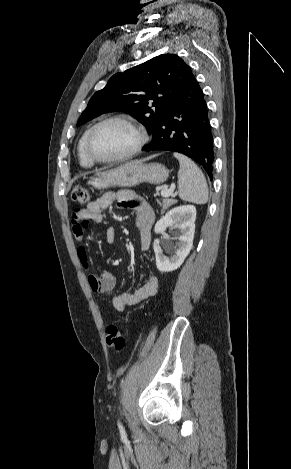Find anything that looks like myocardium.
<instances>
[{
    "label": "myocardium",
    "mask_w": 291,
    "mask_h": 469,
    "mask_svg": "<svg viewBox=\"0 0 291 469\" xmlns=\"http://www.w3.org/2000/svg\"><path fill=\"white\" fill-rule=\"evenodd\" d=\"M110 122H122V123L127 124L128 126H130L136 132V134L138 136V140H137L136 144L134 145V147L131 150H129L128 152L124 153V154H121L119 156L112 157V158H100V157L96 156L92 151V148H91L92 138H93L94 133L101 126H103L107 123H110ZM147 142H148L147 131L145 130V128L139 122H137L132 117H129V116H126V115H114V116H110V117H107V118L99 121L98 123H96L95 125H93L89 129L88 134L86 136V140H85V152H86L87 156L94 163H101V164L116 163V162L127 160V159L133 157L134 155H136L137 153H139L142 150V148L146 145Z\"/></svg>",
    "instance_id": "myocardium-1"
}]
</instances>
